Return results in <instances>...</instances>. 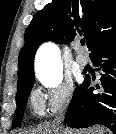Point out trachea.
Returning a JSON list of instances; mask_svg holds the SVG:
<instances>
[{"instance_id":"obj_1","label":"trachea","mask_w":116,"mask_h":134,"mask_svg":"<svg viewBox=\"0 0 116 134\" xmlns=\"http://www.w3.org/2000/svg\"><path fill=\"white\" fill-rule=\"evenodd\" d=\"M81 45H85V40H81Z\"/></svg>"}]
</instances>
